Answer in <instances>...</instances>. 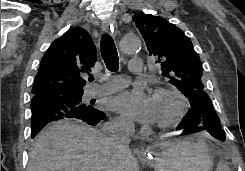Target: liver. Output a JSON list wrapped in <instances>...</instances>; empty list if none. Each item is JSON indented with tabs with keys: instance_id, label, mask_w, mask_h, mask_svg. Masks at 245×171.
Wrapping results in <instances>:
<instances>
[{
	"instance_id": "obj_1",
	"label": "liver",
	"mask_w": 245,
	"mask_h": 171,
	"mask_svg": "<svg viewBox=\"0 0 245 171\" xmlns=\"http://www.w3.org/2000/svg\"><path fill=\"white\" fill-rule=\"evenodd\" d=\"M108 165L116 171H139L130 150L120 153L99 131L65 120L48 125L36 136L27 171H104Z\"/></svg>"
}]
</instances>
